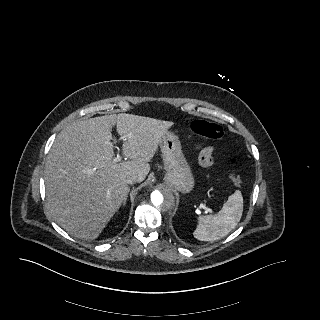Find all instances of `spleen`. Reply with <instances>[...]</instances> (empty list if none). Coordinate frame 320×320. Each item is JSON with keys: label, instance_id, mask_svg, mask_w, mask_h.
Returning a JSON list of instances; mask_svg holds the SVG:
<instances>
[{"label": "spleen", "instance_id": "spleen-1", "mask_svg": "<svg viewBox=\"0 0 320 320\" xmlns=\"http://www.w3.org/2000/svg\"><path fill=\"white\" fill-rule=\"evenodd\" d=\"M243 213V197L239 190L230 195L222 209L214 215L198 217V224L193 232L200 241H215L232 231Z\"/></svg>", "mask_w": 320, "mask_h": 320}]
</instances>
